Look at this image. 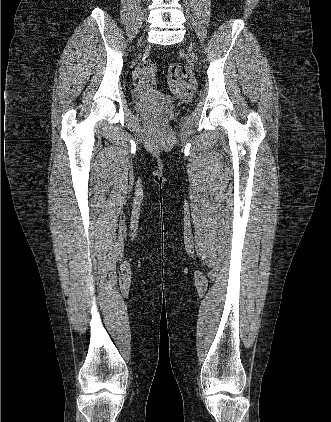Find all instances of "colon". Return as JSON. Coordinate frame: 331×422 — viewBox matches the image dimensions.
Returning a JSON list of instances; mask_svg holds the SVG:
<instances>
[{"mask_svg": "<svg viewBox=\"0 0 331 422\" xmlns=\"http://www.w3.org/2000/svg\"><path fill=\"white\" fill-rule=\"evenodd\" d=\"M157 71L156 64L147 60L141 66V77L152 81ZM168 76L171 90L182 102H187L191 98L192 89L188 83L187 67L180 62H173L169 65Z\"/></svg>", "mask_w": 331, "mask_h": 422, "instance_id": "obj_1", "label": "colon"}]
</instances>
